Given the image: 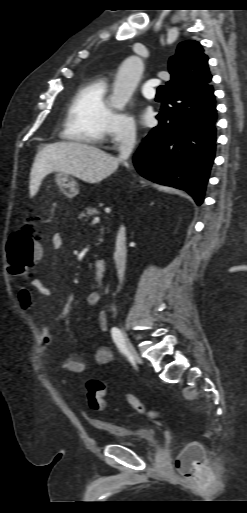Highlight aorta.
I'll list each match as a JSON object with an SVG mask.
<instances>
[{
	"instance_id": "aorta-1",
	"label": "aorta",
	"mask_w": 247,
	"mask_h": 513,
	"mask_svg": "<svg viewBox=\"0 0 247 513\" xmlns=\"http://www.w3.org/2000/svg\"><path fill=\"white\" fill-rule=\"evenodd\" d=\"M143 72V62L138 56H130L119 67L114 83L111 106L123 110L130 100Z\"/></svg>"
}]
</instances>
